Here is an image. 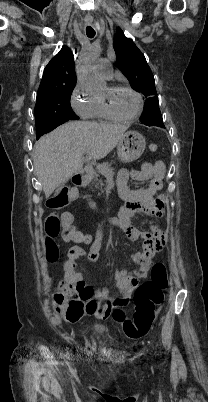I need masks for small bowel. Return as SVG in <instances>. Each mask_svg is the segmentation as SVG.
Returning <instances> with one entry per match:
<instances>
[{"mask_svg": "<svg viewBox=\"0 0 208 402\" xmlns=\"http://www.w3.org/2000/svg\"><path fill=\"white\" fill-rule=\"evenodd\" d=\"M165 164L162 161L151 163L145 161L139 169H122L117 177V189L120 197L125 201V205L121 208L120 227L131 240H143V249L134 255L136 269L133 272L124 270L117 271L114 275L115 284L122 294L121 297L111 300L115 306H123L126 304L128 296L133 288L137 285L139 279L146 277L151 260L155 254L161 250L166 243V231L158 226L151 224L150 231H142L131 225L130 220L138 214H149L157 217L163 215L166 204L164 195L155 197L158 190L162 188L163 178L165 175ZM149 182L144 188L130 189L129 181ZM116 222H101L99 230L103 231L104 227H116ZM113 229V228H112ZM96 237H105V232H96ZM103 240V239H101ZM71 243H89V236H71ZM100 249V240L95 242L92 252L89 253L91 260H96ZM65 276L63 280L70 281V294L68 296H76L81 299L98 298L107 300L105 291H94L92 287L87 285L84 275L79 271L78 267H67L65 262ZM98 318H105L103 315L96 314ZM82 318L80 315H72L69 321L63 324L67 330H74L80 324Z\"/></svg>", "mask_w": 208, "mask_h": 402, "instance_id": "small-bowel-1", "label": "small bowel"}]
</instances>
